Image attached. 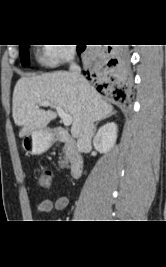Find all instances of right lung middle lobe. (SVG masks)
<instances>
[{
  "instance_id": "obj_1",
  "label": "right lung middle lobe",
  "mask_w": 166,
  "mask_h": 267,
  "mask_svg": "<svg viewBox=\"0 0 166 267\" xmlns=\"http://www.w3.org/2000/svg\"><path fill=\"white\" fill-rule=\"evenodd\" d=\"M20 58H21V63L23 66L29 65V52H28V45H20Z\"/></svg>"
}]
</instances>
